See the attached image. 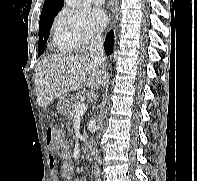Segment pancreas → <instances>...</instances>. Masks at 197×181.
<instances>
[{"mask_svg": "<svg viewBox=\"0 0 197 181\" xmlns=\"http://www.w3.org/2000/svg\"><path fill=\"white\" fill-rule=\"evenodd\" d=\"M82 95H83V93L79 92L74 96L73 104H72L70 112H69V120H72L74 118L78 107L82 104V102L80 100ZM84 135H85V132H84Z\"/></svg>", "mask_w": 197, "mask_h": 181, "instance_id": "obj_1", "label": "pancreas"}]
</instances>
